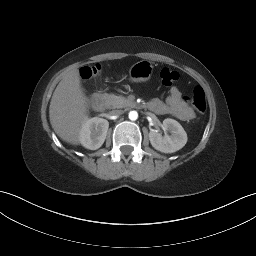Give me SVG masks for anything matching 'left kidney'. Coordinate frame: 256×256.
Instances as JSON below:
<instances>
[{"label":"left kidney","instance_id":"5707ae66","mask_svg":"<svg viewBox=\"0 0 256 256\" xmlns=\"http://www.w3.org/2000/svg\"><path fill=\"white\" fill-rule=\"evenodd\" d=\"M163 127L171 135L162 136L158 130H151L149 140L151 145L163 153H173L185 146L187 143V134L183 127L174 119L167 118L163 121Z\"/></svg>","mask_w":256,"mask_h":256}]
</instances>
